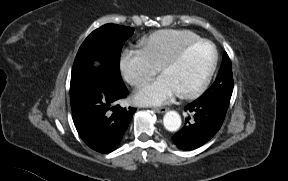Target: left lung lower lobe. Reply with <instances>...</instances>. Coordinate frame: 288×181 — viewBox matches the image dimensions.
<instances>
[{
    "label": "left lung lower lobe",
    "mask_w": 288,
    "mask_h": 181,
    "mask_svg": "<svg viewBox=\"0 0 288 181\" xmlns=\"http://www.w3.org/2000/svg\"><path fill=\"white\" fill-rule=\"evenodd\" d=\"M227 109L214 101L196 100L187 105L185 111L194 114V121L187 125L185 124L172 137L173 143L182 150H192L202 146L220 129Z\"/></svg>",
    "instance_id": "0a47b994"
}]
</instances>
